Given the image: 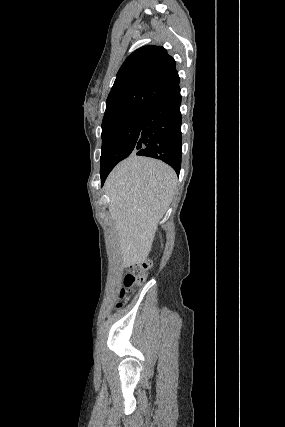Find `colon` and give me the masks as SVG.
Here are the masks:
<instances>
[{
    "label": "colon",
    "instance_id": "colon-1",
    "mask_svg": "<svg viewBox=\"0 0 285 427\" xmlns=\"http://www.w3.org/2000/svg\"><path fill=\"white\" fill-rule=\"evenodd\" d=\"M150 266V261L146 259L133 262L128 266V271L123 280V287L119 293L122 300L128 298L129 294L133 292L135 286H139L144 283ZM120 307L121 304H118L116 309H119Z\"/></svg>",
    "mask_w": 285,
    "mask_h": 427
}]
</instances>
